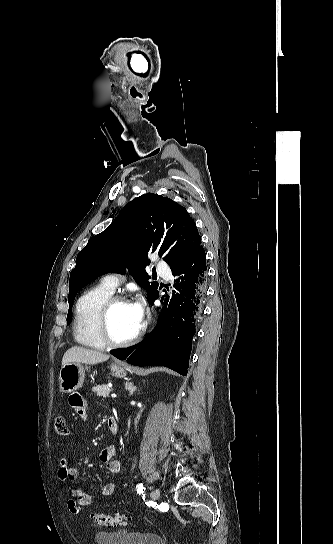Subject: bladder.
<instances>
[{
  "instance_id": "31cf9c89",
  "label": "bladder",
  "mask_w": 333,
  "mask_h": 544,
  "mask_svg": "<svg viewBox=\"0 0 333 544\" xmlns=\"http://www.w3.org/2000/svg\"><path fill=\"white\" fill-rule=\"evenodd\" d=\"M95 541L97 544H166L157 534L124 530L100 531L95 535Z\"/></svg>"
}]
</instances>
